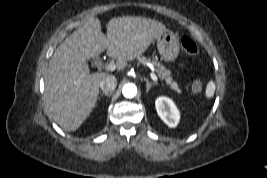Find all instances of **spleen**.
I'll list each match as a JSON object with an SVG mask.
<instances>
[{
  "label": "spleen",
  "mask_w": 267,
  "mask_h": 178,
  "mask_svg": "<svg viewBox=\"0 0 267 178\" xmlns=\"http://www.w3.org/2000/svg\"><path fill=\"white\" fill-rule=\"evenodd\" d=\"M214 91H215V84L211 81L207 85L206 96L208 98H211L214 94Z\"/></svg>",
  "instance_id": "1"
}]
</instances>
